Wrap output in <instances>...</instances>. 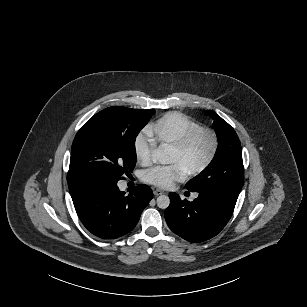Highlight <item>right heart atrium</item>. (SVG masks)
<instances>
[{
	"mask_svg": "<svg viewBox=\"0 0 307 307\" xmlns=\"http://www.w3.org/2000/svg\"><path fill=\"white\" fill-rule=\"evenodd\" d=\"M135 159L142 165H148L152 162L156 152L155 144L147 136L138 137L133 144Z\"/></svg>",
	"mask_w": 307,
	"mask_h": 307,
	"instance_id": "obj_1",
	"label": "right heart atrium"
}]
</instances>
